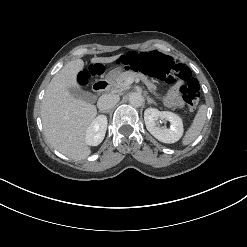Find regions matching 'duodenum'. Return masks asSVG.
Here are the masks:
<instances>
[{
  "label": "duodenum",
  "mask_w": 247,
  "mask_h": 247,
  "mask_svg": "<svg viewBox=\"0 0 247 247\" xmlns=\"http://www.w3.org/2000/svg\"><path fill=\"white\" fill-rule=\"evenodd\" d=\"M92 88L96 96H101L107 91L108 85L104 81H97L93 84Z\"/></svg>",
  "instance_id": "1"
}]
</instances>
